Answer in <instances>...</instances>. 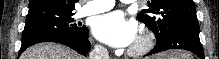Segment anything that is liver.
I'll return each mask as SVG.
<instances>
[{"label":"liver","mask_w":219,"mask_h":59,"mask_svg":"<svg viewBox=\"0 0 219 59\" xmlns=\"http://www.w3.org/2000/svg\"><path fill=\"white\" fill-rule=\"evenodd\" d=\"M20 59H85L75 51L55 43H40L23 52Z\"/></svg>","instance_id":"6515ba94"}]
</instances>
